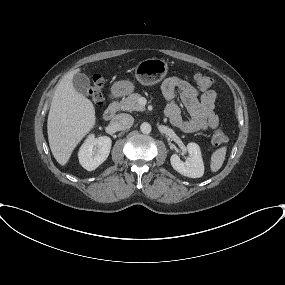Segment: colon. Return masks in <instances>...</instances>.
Listing matches in <instances>:
<instances>
[{
	"label": "colon",
	"instance_id": "1",
	"mask_svg": "<svg viewBox=\"0 0 285 285\" xmlns=\"http://www.w3.org/2000/svg\"><path fill=\"white\" fill-rule=\"evenodd\" d=\"M194 82L196 85L204 90H209L215 85V80L207 75L197 73L194 75ZM103 80L100 76L96 75L93 78V82L89 91L90 98L94 104L100 105L103 103L102 94ZM227 141L226 134L218 129L213 133L212 143L215 146H219Z\"/></svg>",
	"mask_w": 285,
	"mask_h": 285
}]
</instances>
